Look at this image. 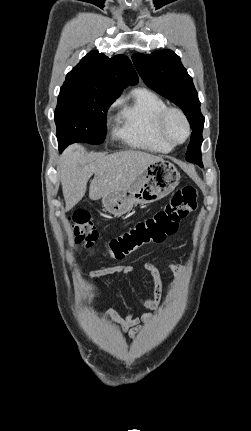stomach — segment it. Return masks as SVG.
<instances>
[{
	"label": "stomach",
	"instance_id": "0dacf381",
	"mask_svg": "<svg viewBox=\"0 0 251 431\" xmlns=\"http://www.w3.org/2000/svg\"><path fill=\"white\" fill-rule=\"evenodd\" d=\"M179 180L180 173L175 165L162 159L149 164L126 187L105 194L102 205L108 213L123 216L134 205L151 204L164 198L175 189Z\"/></svg>",
	"mask_w": 251,
	"mask_h": 431
}]
</instances>
